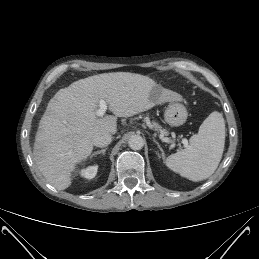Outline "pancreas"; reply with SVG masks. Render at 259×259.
Here are the masks:
<instances>
[{"mask_svg": "<svg viewBox=\"0 0 259 259\" xmlns=\"http://www.w3.org/2000/svg\"><path fill=\"white\" fill-rule=\"evenodd\" d=\"M153 127L160 132L167 133L158 123H153Z\"/></svg>", "mask_w": 259, "mask_h": 259, "instance_id": "cf45deb5", "label": "pancreas"}]
</instances>
